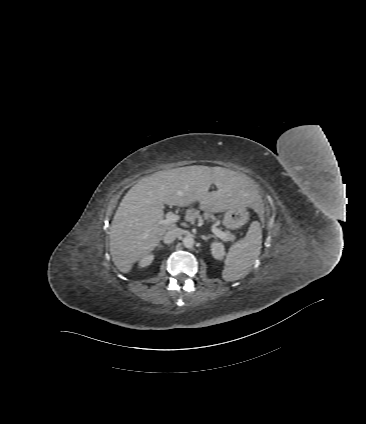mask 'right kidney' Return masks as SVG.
<instances>
[{
  "label": "right kidney",
  "mask_w": 366,
  "mask_h": 424,
  "mask_svg": "<svg viewBox=\"0 0 366 424\" xmlns=\"http://www.w3.org/2000/svg\"><path fill=\"white\" fill-rule=\"evenodd\" d=\"M153 259H154V254H148V255L144 256L143 258H141V260L139 262V266L140 267H147L152 263Z\"/></svg>",
  "instance_id": "1"
}]
</instances>
